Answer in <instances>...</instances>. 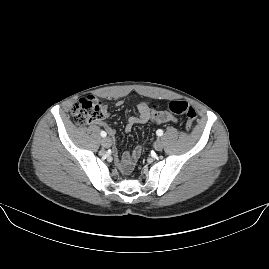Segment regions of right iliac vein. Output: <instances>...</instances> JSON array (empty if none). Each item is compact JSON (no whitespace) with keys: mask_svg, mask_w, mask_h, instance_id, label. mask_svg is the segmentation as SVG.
I'll return each instance as SVG.
<instances>
[{"mask_svg":"<svg viewBox=\"0 0 269 269\" xmlns=\"http://www.w3.org/2000/svg\"><path fill=\"white\" fill-rule=\"evenodd\" d=\"M101 144L105 148H109L112 145V141L109 137H105L101 140Z\"/></svg>","mask_w":269,"mask_h":269,"instance_id":"63e3f726","label":"right iliac vein"}]
</instances>
